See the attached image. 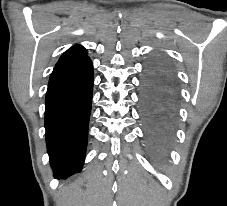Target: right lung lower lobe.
I'll return each instance as SVG.
<instances>
[{"instance_id":"right-lung-lower-lobe-1","label":"right lung lower lobe","mask_w":227,"mask_h":206,"mask_svg":"<svg viewBox=\"0 0 227 206\" xmlns=\"http://www.w3.org/2000/svg\"><path fill=\"white\" fill-rule=\"evenodd\" d=\"M93 91V66L88 56L55 66L45 100L46 143L57 179L82 169Z\"/></svg>"}]
</instances>
